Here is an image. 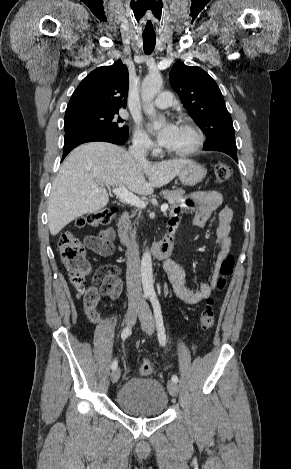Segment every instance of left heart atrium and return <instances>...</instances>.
Segmentation results:
<instances>
[{
  "mask_svg": "<svg viewBox=\"0 0 291 469\" xmlns=\"http://www.w3.org/2000/svg\"><path fill=\"white\" fill-rule=\"evenodd\" d=\"M149 128L156 135L159 144L167 146L174 137L177 126L172 122H166L162 125L150 123Z\"/></svg>",
  "mask_w": 291,
  "mask_h": 469,
  "instance_id": "left-heart-atrium-1",
  "label": "left heart atrium"
}]
</instances>
